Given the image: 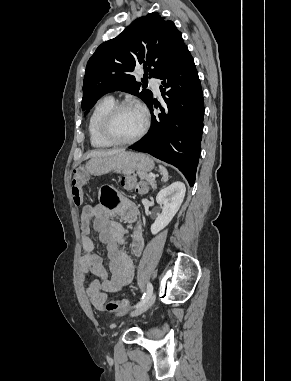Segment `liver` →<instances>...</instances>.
Masks as SVG:
<instances>
[{"instance_id":"1","label":"liver","mask_w":291,"mask_h":381,"mask_svg":"<svg viewBox=\"0 0 291 381\" xmlns=\"http://www.w3.org/2000/svg\"><path fill=\"white\" fill-rule=\"evenodd\" d=\"M124 152L123 149H113V150H94L87 154L86 159L95 157H106L115 155L117 153Z\"/></svg>"}]
</instances>
